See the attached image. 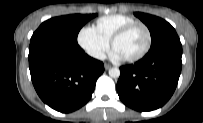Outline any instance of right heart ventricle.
<instances>
[{
    "label": "right heart ventricle",
    "mask_w": 203,
    "mask_h": 123,
    "mask_svg": "<svg viewBox=\"0 0 203 123\" xmlns=\"http://www.w3.org/2000/svg\"><path fill=\"white\" fill-rule=\"evenodd\" d=\"M137 22V20L126 14H113L100 17L96 21L97 31L107 40H111L113 35L122 27Z\"/></svg>",
    "instance_id": "1"
}]
</instances>
